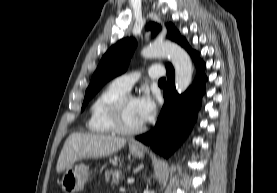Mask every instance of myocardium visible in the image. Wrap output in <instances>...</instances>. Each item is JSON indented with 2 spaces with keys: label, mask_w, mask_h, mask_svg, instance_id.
<instances>
[{
  "label": "myocardium",
  "mask_w": 277,
  "mask_h": 193,
  "mask_svg": "<svg viewBox=\"0 0 277 193\" xmlns=\"http://www.w3.org/2000/svg\"><path fill=\"white\" fill-rule=\"evenodd\" d=\"M130 98H133V97L130 95L124 94L123 96L115 100L109 108V112H108L109 121L115 133H118L121 135H134L145 129V125L143 123L137 127H128L124 123L123 108H124L125 102Z\"/></svg>",
  "instance_id": "myocardium-1"
}]
</instances>
